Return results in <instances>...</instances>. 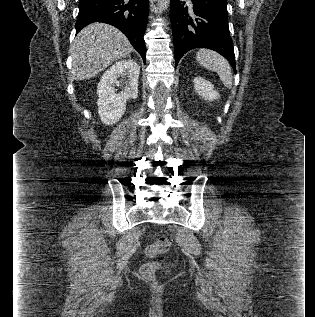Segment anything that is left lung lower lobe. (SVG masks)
<instances>
[{"instance_id": "obj_1", "label": "left lung lower lobe", "mask_w": 315, "mask_h": 317, "mask_svg": "<svg viewBox=\"0 0 315 317\" xmlns=\"http://www.w3.org/2000/svg\"><path fill=\"white\" fill-rule=\"evenodd\" d=\"M170 20L176 65L189 50L208 48L223 55L236 72L227 0H191L189 5L171 0Z\"/></svg>"}]
</instances>
